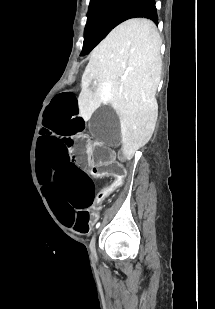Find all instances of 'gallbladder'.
<instances>
[{"instance_id":"1","label":"gallbladder","mask_w":215,"mask_h":309,"mask_svg":"<svg viewBox=\"0 0 215 309\" xmlns=\"http://www.w3.org/2000/svg\"><path fill=\"white\" fill-rule=\"evenodd\" d=\"M99 108L91 115L90 130L101 144H105V148H119L122 139L119 137L121 127L117 115L110 103H101Z\"/></svg>"}]
</instances>
